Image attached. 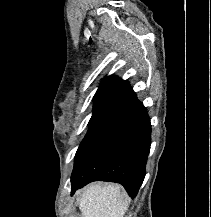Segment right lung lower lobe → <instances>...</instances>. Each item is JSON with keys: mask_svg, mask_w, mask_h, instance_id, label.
Listing matches in <instances>:
<instances>
[{"mask_svg": "<svg viewBox=\"0 0 211 217\" xmlns=\"http://www.w3.org/2000/svg\"><path fill=\"white\" fill-rule=\"evenodd\" d=\"M150 144V119L138 102L102 131L74 167L71 194L101 180L120 183L135 197L146 174Z\"/></svg>", "mask_w": 211, "mask_h": 217, "instance_id": "obj_1", "label": "right lung lower lobe"}]
</instances>
